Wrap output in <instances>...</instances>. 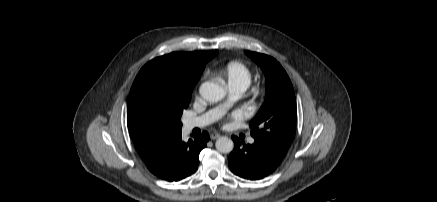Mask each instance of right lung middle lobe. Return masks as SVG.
<instances>
[{
    "mask_svg": "<svg viewBox=\"0 0 437 202\" xmlns=\"http://www.w3.org/2000/svg\"><path fill=\"white\" fill-rule=\"evenodd\" d=\"M197 80L182 82L175 64L157 57L136 76L127 106L128 125L148 131L181 132L180 118Z\"/></svg>",
    "mask_w": 437,
    "mask_h": 202,
    "instance_id": "obj_1",
    "label": "right lung middle lobe"
}]
</instances>
